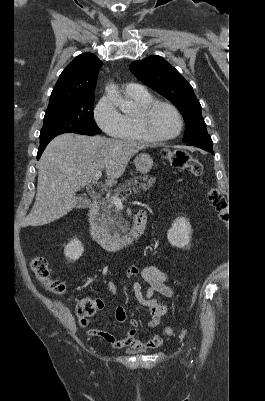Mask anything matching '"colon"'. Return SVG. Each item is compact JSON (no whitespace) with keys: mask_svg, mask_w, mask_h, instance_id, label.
Masks as SVG:
<instances>
[{"mask_svg":"<svg viewBox=\"0 0 265 401\" xmlns=\"http://www.w3.org/2000/svg\"><path fill=\"white\" fill-rule=\"evenodd\" d=\"M166 159L170 164L177 169H188L194 176H200L203 171L202 164L195 160L188 152L183 150H167L164 152ZM208 200L218 213V215L225 219L228 217L229 206L225 196L216 188H211L208 193ZM31 268L45 288L56 295H61L65 291V284L57 279L51 277L48 263L45 258L36 256L31 262ZM197 285L192 293L191 306L195 303L198 294ZM101 308V301L94 298L86 297L81 299L76 305V315L81 320H86L95 314ZM165 334H173L171 327L164 329Z\"/></svg>","mask_w":265,"mask_h":401,"instance_id":"1","label":"colon"}]
</instances>
